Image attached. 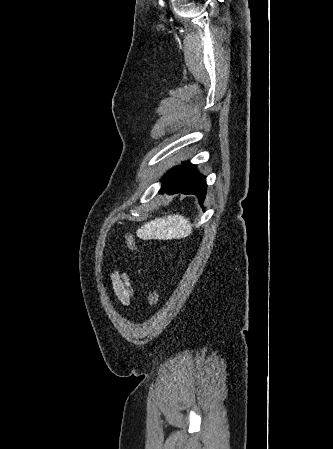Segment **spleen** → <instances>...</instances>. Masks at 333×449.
<instances>
[{
	"label": "spleen",
	"instance_id": "spleen-1",
	"mask_svg": "<svg viewBox=\"0 0 333 449\" xmlns=\"http://www.w3.org/2000/svg\"><path fill=\"white\" fill-rule=\"evenodd\" d=\"M192 225L183 215L173 214L162 218H155L145 223L137 230L142 239H178L188 236Z\"/></svg>",
	"mask_w": 333,
	"mask_h": 449
}]
</instances>
